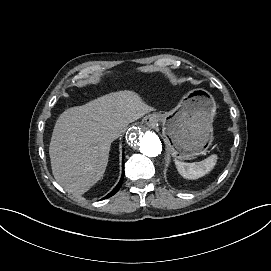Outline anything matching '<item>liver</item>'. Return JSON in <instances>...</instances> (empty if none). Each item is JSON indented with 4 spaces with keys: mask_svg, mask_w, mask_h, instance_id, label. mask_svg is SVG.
I'll return each instance as SVG.
<instances>
[{
    "mask_svg": "<svg viewBox=\"0 0 271 271\" xmlns=\"http://www.w3.org/2000/svg\"><path fill=\"white\" fill-rule=\"evenodd\" d=\"M153 111L129 90L104 95L65 110L57 119L49 146L52 173L65 191L87 192L103 176L112 135Z\"/></svg>",
    "mask_w": 271,
    "mask_h": 271,
    "instance_id": "liver-1",
    "label": "liver"
}]
</instances>
